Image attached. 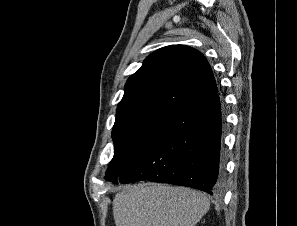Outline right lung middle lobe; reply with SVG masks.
Masks as SVG:
<instances>
[{
  "instance_id": "obj_1",
  "label": "right lung middle lobe",
  "mask_w": 297,
  "mask_h": 226,
  "mask_svg": "<svg viewBox=\"0 0 297 226\" xmlns=\"http://www.w3.org/2000/svg\"><path fill=\"white\" fill-rule=\"evenodd\" d=\"M170 115H142L116 122L113 126L114 157L105 179L116 182L146 150Z\"/></svg>"
}]
</instances>
